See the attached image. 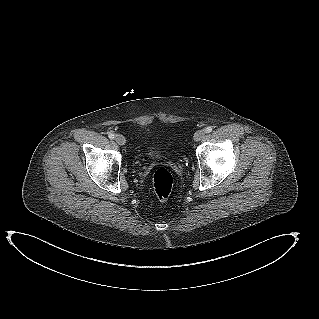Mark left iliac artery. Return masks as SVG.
I'll list each match as a JSON object with an SVG mask.
<instances>
[{
    "label": "left iliac artery",
    "instance_id": "obj_1",
    "mask_svg": "<svg viewBox=\"0 0 319 319\" xmlns=\"http://www.w3.org/2000/svg\"><path fill=\"white\" fill-rule=\"evenodd\" d=\"M212 130H213V128L211 126H208L205 128L206 133H210V132H212Z\"/></svg>",
    "mask_w": 319,
    "mask_h": 319
}]
</instances>
